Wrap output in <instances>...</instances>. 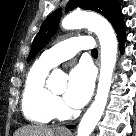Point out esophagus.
<instances>
[{"mask_svg": "<svg viewBox=\"0 0 136 136\" xmlns=\"http://www.w3.org/2000/svg\"><path fill=\"white\" fill-rule=\"evenodd\" d=\"M98 66H99V62H98ZM59 131L63 133H68V129L65 127L60 128Z\"/></svg>", "mask_w": 136, "mask_h": 136, "instance_id": "34e87169", "label": "esophagus"}]
</instances>
